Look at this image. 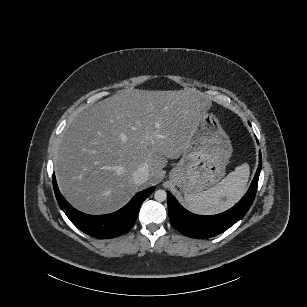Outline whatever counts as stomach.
Listing matches in <instances>:
<instances>
[{
	"instance_id": "stomach-1",
	"label": "stomach",
	"mask_w": 307,
	"mask_h": 307,
	"mask_svg": "<svg viewBox=\"0 0 307 307\" xmlns=\"http://www.w3.org/2000/svg\"><path fill=\"white\" fill-rule=\"evenodd\" d=\"M231 140L211 111H203L195 120L186 140L182 157L171 170L170 180L183 193H198L220 182L232 156Z\"/></svg>"
}]
</instances>
